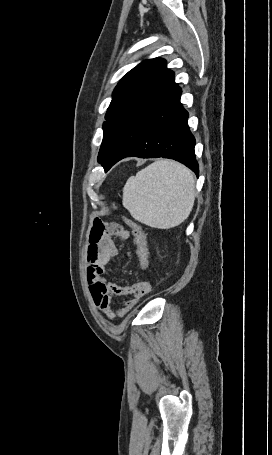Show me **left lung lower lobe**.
I'll return each mask as SVG.
<instances>
[{"label": "left lung lower lobe", "instance_id": "0a47b994", "mask_svg": "<svg viewBox=\"0 0 272 455\" xmlns=\"http://www.w3.org/2000/svg\"><path fill=\"white\" fill-rule=\"evenodd\" d=\"M181 93L173 80L128 122L101 163L105 172L119 160L136 156L174 159L199 175L195 138L180 103Z\"/></svg>", "mask_w": 272, "mask_h": 455}]
</instances>
